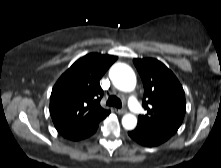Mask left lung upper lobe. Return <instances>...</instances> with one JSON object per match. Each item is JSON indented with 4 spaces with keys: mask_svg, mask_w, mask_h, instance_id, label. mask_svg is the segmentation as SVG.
<instances>
[{
    "mask_svg": "<svg viewBox=\"0 0 221 168\" xmlns=\"http://www.w3.org/2000/svg\"><path fill=\"white\" fill-rule=\"evenodd\" d=\"M144 85L143 107L138 125L173 136L182 124L186 102L184 90L176 76L153 58L133 60Z\"/></svg>",
    "mask_w": 221,
    "mask_h": 168,
    "instance_id": "obj_1",
    "label": "left lung upper lobe"
}]
</instances>
